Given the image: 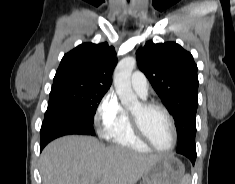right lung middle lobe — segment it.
I'll use <instances>...</instances> for the list:
<instances>
[{"label":"right lung middle lobe","mask_w":235,"mask_h":184,"mask_svg":"<svg viewBox=\"0 0 235 184\" xmlns=\"http://www.w3.org/2000/svg\"><path fill=\"white\" fill-rule=\"evenodd\" d=\"M107 91L99 86H67L51 91L49 101L66 105L93 124L96 108Z\"/></svg>","instance_id":"obj_1"}]
</instances>
